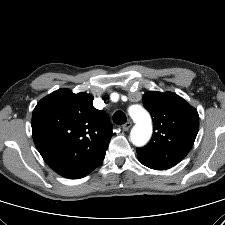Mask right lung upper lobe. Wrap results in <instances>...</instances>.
<instances>
[{"label": "right lung upper lobe", "instance_id": "right-lung-upper-lobe-1", "mask_svg": "<svg viewBox=\"0 0 225 225\" xmlns=\"http://www.w3.org/2000/svg\"><path fill=\"white\" fill-rule=\"evenodd\" d=\"M94 97L59 89L36 105L33 140L45 162L59 175L79 179L97 168L114 133L106 113L92 105Z\"/></svg>", "mask_w": 225, "mask_h": 225}]
</instances>
